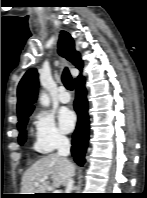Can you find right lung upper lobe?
Masks as SVG:
<instances>
[{
	"label": "right lung upper lobe",
	"mask_w": 147,
	"mask_h": 198,
	"mask_svg": "<svg viewBox=\"0 0 147 198\" xmlns=\"http://www.w3.org/2000/svg\"><path fill=\"white\" fill-rule=\"evenodd\" d=\"M58 53L72 62L78 69H82L83 63L79 53L75 50L74 41L66 31L60 32ZM38 93V73L36 69L28 70L21 79L18 89L17 113L19 122L30 116L34 109Z\"/></svg>",
	"instance_id": "obj_1"
}]
</instances>
